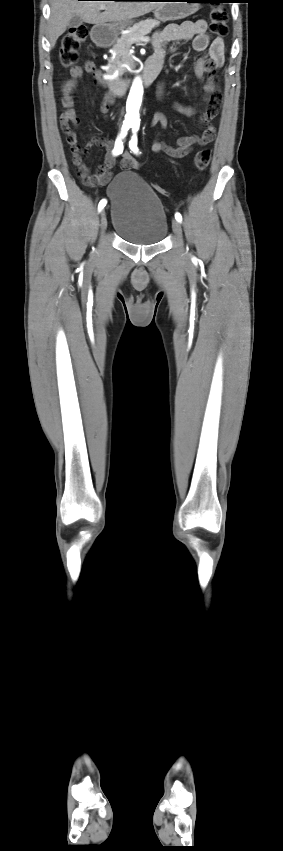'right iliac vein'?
Instances as JSON below:
<instances>
[{
	"mask_svg": "<svg viewBox=\"0 0 283 851\" xmlns=\"http://www.w3.org/2000/svg\"><path fill=\"white\" fill-rule=\"evenodd\" d=\"M100 227L102 231H105L107 228V217L104 210H102L100 215Z\"/></svg>",
	"mask_w": 283,
	"mask_h": 851,
	"instance_id": "1",
	"label": "right iliac vein"
}]
</instances>
